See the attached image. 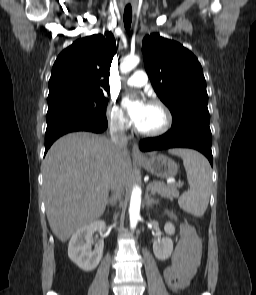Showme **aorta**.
<instances>
[{
  "mask_svg": "<svg viewBox=\"0 0 256 295\" xmlns=\"http://www.w3.org/2000/svg\"><path fill=\"white\" fill-rule=\"evenodd\" d=\"M140 62V58L135 55H129L125 57L121 64L120 70L122 73H128L134 69ZM140 206H141V189L139 186H134L129 206V216H130V227L131 229L136 228L138 220L140 218Z\"/></svg>",
  "mask_w": 256,
  "mask_h": 295,
  "instance_id": "762f6f07",
  "label": "aorta"
}]
</instances>
